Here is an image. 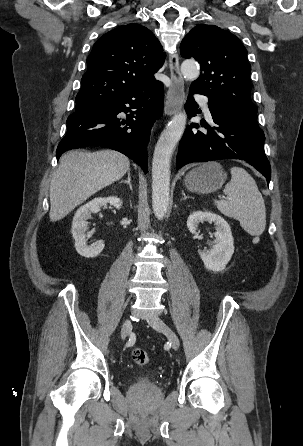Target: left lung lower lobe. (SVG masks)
<instances>
[{
    "label": "left lung lower lobe",
    "instance_id": "obj_1",
    "mask_svg": "<svg viewBox=\"0 0 303 446\" xmlns=\"http://www.w3.org/2000/svg\"><path fill=\"white\" fill-rule=\"evenodd\" d=\"M193 93L205 95L190 87L186 102L189 116L198 105ZM208 106L215 126L203 127L209 131H199L198 124L187 126L179 144L177 169L191 162H206L220 159H242L254 166L269 183L270 163L264 152L265 136L262 129L235 112L227 104L208 98Z\"/></svg>",
    "mask_w": 303,
    "mask_h": 446
}]
</instances>
